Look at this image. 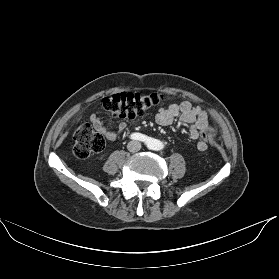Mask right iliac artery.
Masks as SVG:
<instances>
[{
    "label": "right iliac artery",
    "instance_id": "82829eb1",
    "mask_svg": "<svg viewBox=\"0 0 279 279\" xmlns=\"http://www.w3.org/2000/svg\"><path fill=\"white\" fill-rule=\"evenodd\" d=\"M130 138L133 140H139V141L147 140V137L140 133H133V134H131Z\"/></svg>",
    "mask_w": 279,
    "mask_h": 279
}]
</instances>
